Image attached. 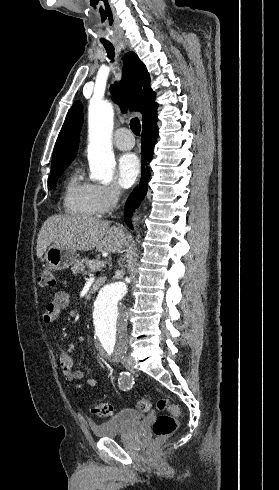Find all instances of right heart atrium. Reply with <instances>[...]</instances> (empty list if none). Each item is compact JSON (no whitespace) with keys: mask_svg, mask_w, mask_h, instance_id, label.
<instances>
[{"mask_svg":"<svg viewBox=\"0 0 279 490\" xmlns=\"http://www.w3.org/2000/svg\"><path fill=\"white\" fill-rule=\"evenodd\" d=\"M91 203L96 216H104L109 213L119 201L121 189L115 183L89 184Z\"/></svg>","mask_w":279,"mask_h":490,"instance_id":"d8ad5b80","label":"right heart atrium"}]
</instances>
